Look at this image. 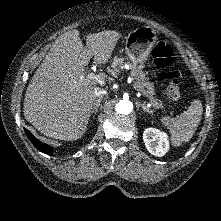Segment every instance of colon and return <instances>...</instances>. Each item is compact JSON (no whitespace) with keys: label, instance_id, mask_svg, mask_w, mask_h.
I'll return each instance as SVG.
<instances>
[{"label":"colon","instance_id":"5ec220e1","mask_svg":"<svg viewBox=\"0 0 221 221\" xmlns=\"http://www.w3.org/2000/svg\"><path fill=\"white\" fill-rule=\"evenodd\" d=\"M152 57L155 66L159 69V79L167 86L169 97L173 101H178L181 98V88L171 69L173 49L170 43L163 38L157 39L152 50Z\"/></svg>","mask_w":221,"mask_h":221}]
</instances>
